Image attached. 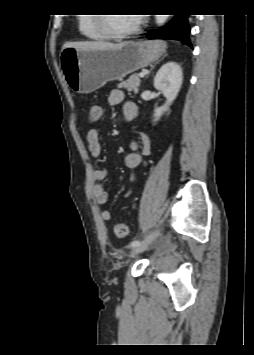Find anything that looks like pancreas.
<instances>
[{
    "instance_id": "pancreas-1",
    "label": "pancreas",
    "mask_w": 254,
    "mask_h": 355,
    "mask_svg": "<svg viewBox=\"0 0 254 355\" xmlns=\"http://www.w3.org/2000/svg\"><path fill=\"white\" fill-rule=\"evenodd\" d=\"M140 78L139 75L134 74L128 80L122 81L118 84V88L126 89L129 93L134 92L135 94L139 91L140 86Z\"/></svg>"
}]
</instances>
